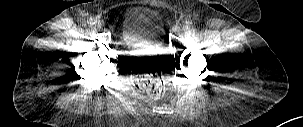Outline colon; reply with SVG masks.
<instances>
[{
	"mask_svg": "<svg viewBox=\"0 0 303 127\" xmlns=\"http://www.w3.org/2000/svg\"><path fill=\"white\" fill-rule=\"evenodd\" d=\"M166 71L165 61L160 59L137 62L133 67L135 84L140 91L154 98L162 97L166 91Z\"/></svg>",
	"mask_w": 303,
	"mask_h": 127,
	"instance_id": "colon-1",
	"label": "colon"
}]
</instances>
